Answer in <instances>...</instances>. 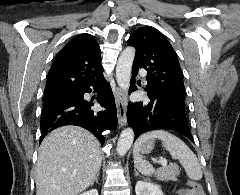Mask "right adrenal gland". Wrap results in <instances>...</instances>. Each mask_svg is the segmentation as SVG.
Returning a JSON list of instances; mask_svg holds the SVG:
<instances>
[{
	"mask_svg": "<svg viewBox=\"0 0 240 195\" xmlns=\"http://www.w3.org/2000/svg\"><path fill=\"white\" fill-rule=\"evenodd\" d=\"M99 175H100V173H99V171H98V173H96V177H95V179H93L91 185H93L94 181H96V183H98V177H99Z\"/></svg>",
	"mask_w": 240,
	"mask_h": 195,
	"instance_id": "1",
	"label": "right adrenal gland"
}]
</instances>
